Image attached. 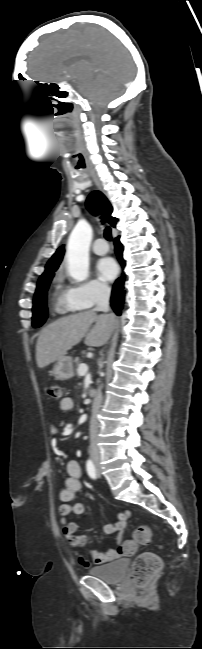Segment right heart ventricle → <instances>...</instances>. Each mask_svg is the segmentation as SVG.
Returning <instances> with one entry per match:
<instances>
[{
	"label": "right heart ventricle",
	"mask_w": 202,
	"mask_h": 649,
	"mask_svg": "<svg viewBox=\"0 0 202 649\" xmlns=\"http://www.w3.org/2000/svg\"><path fill=\"white\" fill-rule=\"evenodd\" d=\"M67 291L68 288L64 284V278L61 275H58L54 281L52 292V302L55 311L68 313L75 310V308H72L66 302Z\"/></svg>",
	"instance_id": "right-heart-ventricle-1"
}]
</instances>
